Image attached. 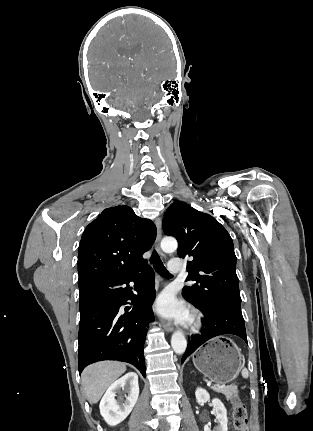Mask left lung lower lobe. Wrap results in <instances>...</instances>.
Wrapping results in <instances>:
<instances>
[{"mask_svg": "<svg viewBox=\"0 0 313 431\" xmlns=\"http://www.w3.org/2000/svg\"><path fill=\"white\" fill-rule=\"evenodd\" d=\"M200 311L204 314L202 322L205 328L200 335H192L189 338L187 349L182 357V363L199 346L215 336L233 334L241 337L248 344L244 319L239 305L215 304L205 309H200Z\"/></svg>", "mask_w": 313, "mask_h": 431, "instance_id": "0a47b994", "label": "left lung lower lobe"}]
</instances>
